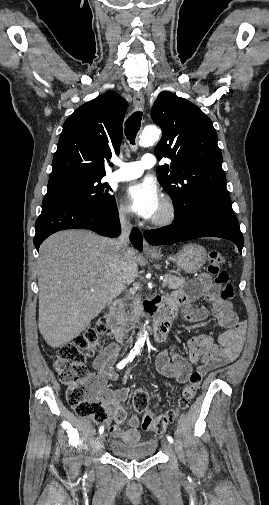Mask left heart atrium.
<instances>
[{"label": "left heart atrium", "instance_id": "39dd6f15", "mask_svg": "<svg viewBox=\"0 0 269 505\" xmlns=\"http://www.w3.org/2000/svg\"><path fill=\"white\" fill-rule=\"evenodd\" d=\"M125 199L129 209L145 219H152L162 204L160 191L151 180L130 184L126 188Z\"/></svg>", "mask_w": 269, "mask_h": 505}]
</instances>
